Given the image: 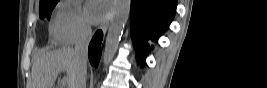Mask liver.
<instances>
[{
  "label": "liver",
  "mask_w": 267,
  "mask_h": 88,
  "mask_svg": "<svg viewBox=\"0 0 267 88\" xmlns=\"http://www.w3.org/2000/svg\"><path fill=\"white\" fill-rule=\"evenodd\" d=\"M79 65L74 50L61 48L40 55L32 66L30 88H53L60 72H66L67 88H75Z\"/></svg>",
  "instance_id": "liver-1"
}]
</instances>
